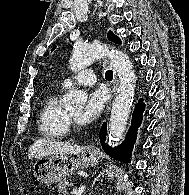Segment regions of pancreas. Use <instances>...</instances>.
<instances>
[{
    "label": "pancreas",
    "mask_w": 189,
    "mask_h": 195,
    "mask_svg": "<svg viewBox=\"0 0 189 195\" xmlns=\"http://www.w3.org/2000/svg\"><path fill=\"white\" fill-rule=\"evenodd\" d=\"M72 185H73V183L59 182L58 185H57V187H58V192H59V193H63V195H67V194H66V191H65V188H66L67 186H72Z\"/></svg>",
    "instance_id": "obj_1"
}]
</instances>
